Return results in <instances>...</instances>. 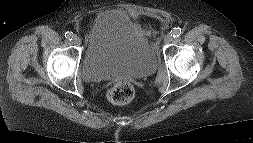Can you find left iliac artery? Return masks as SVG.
I'll use <instances>...</instances> for the list:
<instances>
[{
    "instance_id": "obj_1",
    "label": "left iliac artery",
    "mask_w": 253,
    "mask_h": 143,
    "mask_svg": "<svg viewBox=\"0 0 253 143\" xmlns=\"http://www.w3.org/2000/svg\"><path fill=\"white\" fill-rule=\"evenodd\" d=\"M181 34H182V29L180 27H176V28H173V30H171V35L174 38L179 37Z\"/></svg>"
}]
</instances>
